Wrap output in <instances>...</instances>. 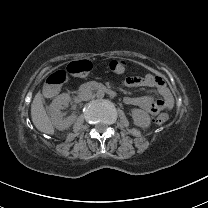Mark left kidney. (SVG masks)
I'll list each match as a JSON object with an SVG mask.
<instances>
[{"mask_svg":"<svg viewBox=\"0 0 208 208\" xmlns=\"http://www.w3.org/2000/svg\"><path fill=\"white\" fill-rule=\"evenodd\" d=\"M130 115L132 117L134 125L137 127L146 129L151 124L150 115L143 109L135 108L131 110Z\"/></svg>","mask_w":208,"mask_h":208,"instance_id":"left-kidney-1","label":"left kidney"}]
</instances>
